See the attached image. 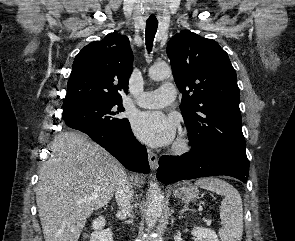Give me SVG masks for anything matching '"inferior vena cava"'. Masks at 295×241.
Returning <instances> with one entry per match:
<instances>
[{"mask_svg":"<svg viewBox=\"0 0 295 241\" xmlns=\"http://www.w3.org/2000/svg\"><path fill=\"white\" fill-rule=\"evenodd\" d=\"M115 198L120 212L124 215L130 213L133 191L130 188L128 178L123 170L114 175Z\"/></svg>","mask_w":295,"mask_h":241,"instance_id":"inferior-vena-cava-1","label":"inferior vena cava"}]
</instances>
